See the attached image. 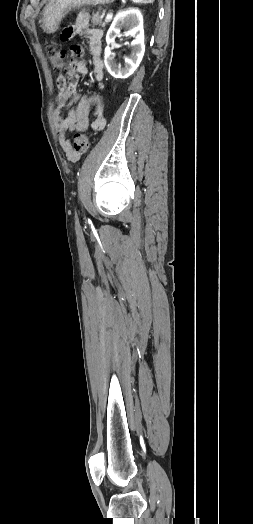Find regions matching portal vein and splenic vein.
Listing matches in <instances>:
<instances>
[{
    "mask_svg": "<svg viewBox=\"0 0 253 524\" xmlns=\"http://www.w3.org/2000/svg\"><path fill=\"white\" fill-rule=\"evenodd\" d=\"M112 17H113V13H112V12H109V13L106 15L105 20H106V21H109L110 19H112Z\"/></svg>",
    "mask_w": 253,
    "mask_h": 524,
    "instance_id": "obj_1",
    "label": "portal vein and splenic vein"
}]
</instances>
